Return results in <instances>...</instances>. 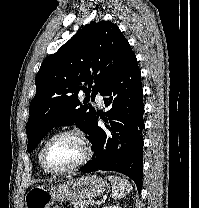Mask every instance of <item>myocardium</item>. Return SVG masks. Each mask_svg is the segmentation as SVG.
Here are the masks:
<instances>
[{
	"label": "myocardium",
	"instance_id": "myocardium-1",
	"mask_svg": "<svg viewBox=\"0 0 199 208\" xmlns=\"http://www.w3.org/2000/svg\"><path fill=\"white\" fill-rule=\"evenodd\" d=\"M66 135H70V136L75 137L81 143L83 150H84L83 156L77 163H75L74 165H72L68 168L56 169V168L52 167L48 161L47 150L53 140H55L58 137L66 136ZM91 156H92V148H91V145H90L87 137L85 136V134L83 132H81L80 130H77V129H64V130L54 133L52 136H50L46 140V142L44 143V145L42 147L43 164H44L45 168L50 173H53V174L63 175V174L72 173V172L76 171L77 169L81 168L83 165H85L89 161Z\"/></svg>",
	"mask_w": 199,
	"mask_h": 208
}]
</instances>
